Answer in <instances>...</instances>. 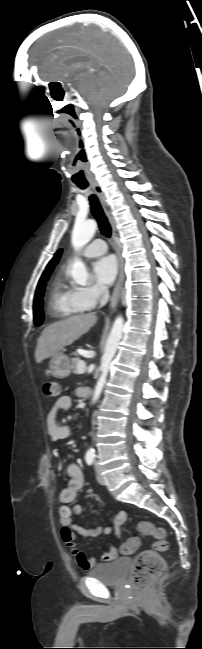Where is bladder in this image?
Listing matches in <instances>:
<instances>
[{"label":"bladder","instance_id":"obj_1","mask_svg":"<svg viewBox=\"0 0 202 649\" xmlns=\"http://www.w3.org/2000/svg\"><path fill=\"white\" fill-rule=\"evenodd\" d=\"M130 560L119 558L110 563L98 564L89 569L88 575L108 585H117L124 579Z\"/></svg>","mask_w":202,"mask_h":649}]
</instances>
